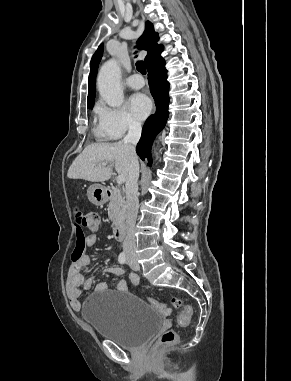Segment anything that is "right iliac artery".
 I'll return each instance as SVG.
<instances>
[{"mask_svg": "<svg viewBox=\"0 0 291 381\" xmlns=\"http://www.w3.org/2000/svg\"><path fill=\"white\" fill-rule=\"evenodd\" d=\"M118 261H119V263H121V264H125V263H126V255H125L124 252H122V253L119 254Z\"/></svg>", "mask_w": 291, "mask_h": 381, "instance_id": "right-iliac-artery-1", "label": "right iliac artery"}]
</instances>
